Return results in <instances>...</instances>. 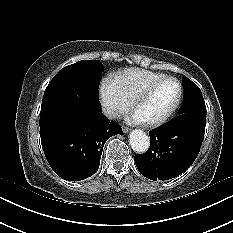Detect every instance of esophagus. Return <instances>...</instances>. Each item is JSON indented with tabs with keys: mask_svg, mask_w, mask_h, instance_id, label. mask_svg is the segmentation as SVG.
Returning a JSON list of instances; mask_svg holds the SVG:
<instances>
[{
	"mask_svg": "<svg viewBox=\"0 0 233 233\" xmlns=\"http://www.w3.org/2000/svg\"><path fill=\"white\" fill-rule=\"evenodd\" d=\"M122 130L124 133H128L130 129L127 126H122Z\"/></svg>",
	"mask_w": 233,
	"mask_h": 233,
	"instance_id": "1",
	"label": "esophagus"
}]
</instances>
